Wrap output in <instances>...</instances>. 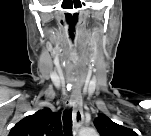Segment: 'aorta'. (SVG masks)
Returning <instances> with one entry per match:
<instances>
[{
	"mask_svg": "<svg viewBox=\"0 0 151 136\" xmlns=\"http://www.w3.org/2000/svg\"><path fill=\"white\" fill-rule=\"evenodd\" d=\"M86 134L95 136V135H96V132H88V133H86Z\"/></svg>",
	"mask_w": 151,
	"mask_h": 136,
	"instance_id": "1",
	"label": "aorta"
}]
</instances>
